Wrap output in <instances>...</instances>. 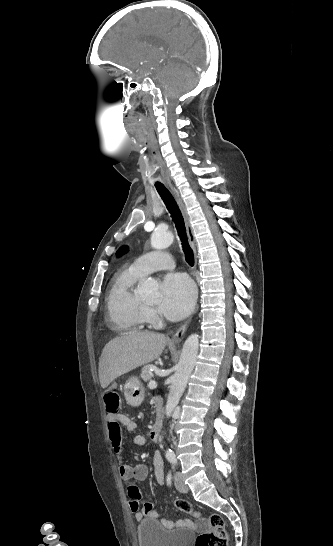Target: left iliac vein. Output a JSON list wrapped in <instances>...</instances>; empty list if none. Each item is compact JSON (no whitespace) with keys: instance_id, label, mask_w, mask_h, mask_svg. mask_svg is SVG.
I'll return each instance as SVG.
<instances>
[{"instance_id":"left-iliac-vein-1","label":"left iliac vein","mask_w":333,"mask_h":546,"mask_svg":"<svg viewBox=\"0 0 333 546\" xmlns=\"http://www.w3.org/2000/svg\"><path fill=\"white\" fill-rule=\"evenodd\" d=\"M174 482H175V487L178 491L183 493L188 492V486L184 483L182 474L180 472H176L174 477Z\"/></svg>"}]
</instances>
